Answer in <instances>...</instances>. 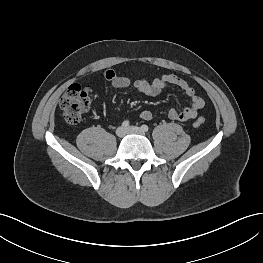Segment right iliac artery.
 <instances>
[{
    "instance_id": "1",
    "label": "right iliac artery",
    "mask_w": 263,
    "mask_h": 263,
    "mask_svg": "<svg viewBox=\"0 0 263 263\" xmlns=\"http://www.w3.org/2000/svg\"><path fill=\"white\" fill-rule=\"evenodd\" d=\"M129 125H130V123L127 120L123 121V123H122V127L125 128V129L128 128Z\"/></svg>"
}]
</instances>
